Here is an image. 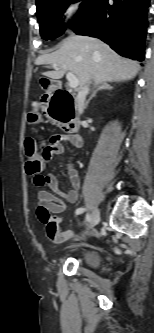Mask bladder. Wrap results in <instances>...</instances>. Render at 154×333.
Here are the masks:
<instances>
[{"label": "bladder", "mask_w": 154, "mask_h": 333, "mask_svg": "<svg viewBox=\"0 0 154 333\" xmlns=\"http://www.w3.org/2000/svg\"><path fill=\"white\" fill-rule=\"evenodd\" d=\"M82 261L90 266H95L100 261V255L97 250L86 248L81 252Z\"/></svg>", "instance_id": "bladder-1"}]
</instances>
